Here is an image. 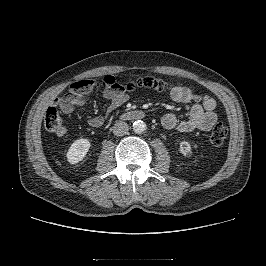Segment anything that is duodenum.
<instances>
[{"label":"duodenum","mask_w":266,"mask_h":266,"mask_svg":"<svg viewBox=\"0 0 266 266\" xmlns=\"http://www.w3.org/2000/svg\"><path fill=\"white\" fill-rule=\"evenodd\" d=\"M122 117L128 120H138L145 117V112L142 110H132L125 112Z\"/></svg>","instance_id":"obj_1"}]
</instances>
